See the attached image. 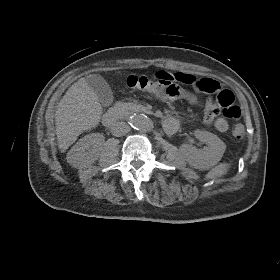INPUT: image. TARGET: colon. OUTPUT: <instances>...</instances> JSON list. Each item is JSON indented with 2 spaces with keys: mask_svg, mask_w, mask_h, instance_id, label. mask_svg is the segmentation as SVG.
Listing matches in <instances>:
<instances>
[{
  "mask_svg": "<svg viewBox=\"0 0 280 280\" xmlns=\"http://www.w3.org/2000/svg\"><path fill=\"white\" fill-rule=\"evenodd\" d=\"M128 87L148 92L156 97L166 100L182 99L184 90L183 83L178 73L171 74L166 71H159L153 78L145 76H129L126 80ZM204 93L212 94L218 92L217 100L213 103L210 117L206 120L215 119L219 114L232 119L241 116V109L235 103L234 95L229 90L220 91L219 85L209 82L208 86L202 90ZM245 134L244 126L241 123L234 125L232 136L235 139H242Z\"/></svg>",
  "mask_w": 280,
  "mask_h": 280,
  "instance_id": "1",
  "label": "colon"
}]
</instances>
